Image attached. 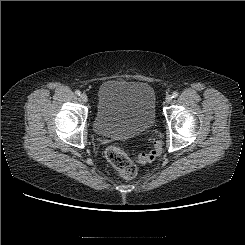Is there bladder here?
<instances>
[{"mask_svg": "<svg viewBox=\"0 0 245 245\" xmlns=\"http://www.w3.org/2000/svg\"><path fill=\"white\" fill-rule=\"evenodd\" d=\"M156 96L144 82L111 79L98 91L93 129L98 135L133 136L156 122Z\"/></svg>", "mask_w": 245, "mask_h": 245, "instance_id": "1", "label": "bladder"}]
</instances>
